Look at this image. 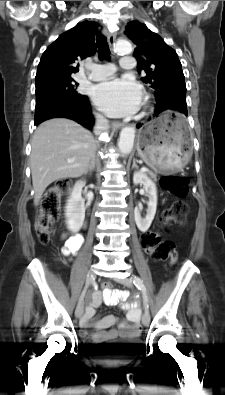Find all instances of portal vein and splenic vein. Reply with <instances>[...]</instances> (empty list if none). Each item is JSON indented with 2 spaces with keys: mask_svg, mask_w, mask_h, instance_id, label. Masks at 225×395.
Returning <instances> with one entry per match:
<instances>
[{
  "mask_svg": "<svg viewBox=\"0 0 225 395\" xmlns=\"http://www.w3.org/2000/svg\"><path fill=\"white\" fill-rule=\"evenodd\" d=\"M68 162H72V160H68ZM141 171H142V172H146V171H148V168L142 167V168H141Z\"/></svg>",
  "mask_w": 225,
  "mask_h": 395,
  "instance_id": "18ae733b",
  "label": "portal vein and splenic vein"
}]
</instances>
